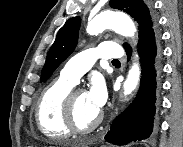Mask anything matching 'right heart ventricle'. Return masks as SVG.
Here are the masks:
<instances>
[{
  "instance_id": "e07e8e85",
  "label": "right heart ventricle",
  "mask_w": 183,
  "mask_h": 147,
  "mask_svg": "<svg viewBox=\"0 0 183 147\" xmlns=\"http://www.w3.org/2000/svg\"><path fill=\"white\" fill-rule=\"evenodd\" d=\"M74 84L59 77L41 93L36 106V121L39 130L48 138L57 140L70 136L63 117V103Z\"/></svg>"
}]
</instances>
